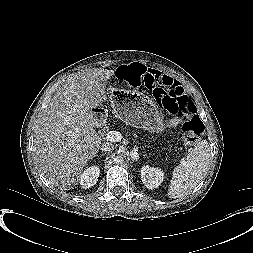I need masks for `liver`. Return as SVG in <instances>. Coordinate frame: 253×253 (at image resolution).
<instances>
[{
	"label": "liver",
	"mask_w": 253,
	"mask_h": 253,
	"mask_svg": "<svg viewBox=\"0 0 253 253\" xmlns=\"http://www.w3.org/2000/svg\"><path fill=\"white\" fill-rule=\"evenodd\" d=\"M114 71L85 69L57 89L34 129L33 152L51 184L70 190L88 161L98 153L101 138L93 128V108L106 99L105 86Z\"/></svg>",
	"instance_id": "1"
}]
</instances>
